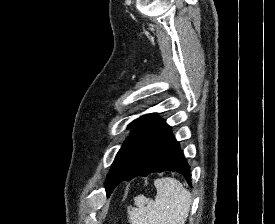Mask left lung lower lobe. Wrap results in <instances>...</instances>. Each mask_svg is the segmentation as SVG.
<instances>
[{
  "mask_svg": "<svg viewBox=\"0 0 275 224\" xmlns=\"http://www.w3.org/2000/svg\"><path fill=\"white\" fill-rule=\"evenodd\" d=\"M173 171L181 173L191 185L190 166L183 158L178 142L170 127L163 121L147 139L125 175L118 179L110 178L106 183L109 196L123 180H132L137 176H147L153 172Z\"/></svg>",
  "mask_w": 275,
  "mask_h": 224,
  "instance_id": "left-lung-lower-lobe-1",
  "label": "left lung lower lobe"
}]
</instances>
